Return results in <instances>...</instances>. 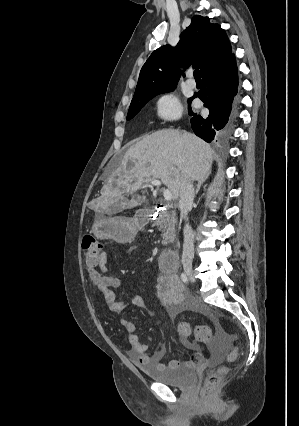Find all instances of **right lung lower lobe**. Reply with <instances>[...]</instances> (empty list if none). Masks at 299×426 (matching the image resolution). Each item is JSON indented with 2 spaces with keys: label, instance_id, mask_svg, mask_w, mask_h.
<instances>
[{
  "label": "right lung lower lobe",
  "instance_id": "1",
  "mask_svg": "<svg viewBox=\"0 0 299 426\" xmlns=\"http://www.w3.org/2000/svg\"><path fill=\"white\" fill-rule=\"evenodd\" d=\"M203 89L195 97H199L204 106L209 109V115L205 118L191 111V100L189 99V115L191 127L194 133L211 142L214 138L224 136L230 126V113L232 102L237 94L238 76L235 56L221 67L207 72L203 77Z\"/></svg>",
  "mask_w": 299,
  "mask_h": 426
}]
</instances>
